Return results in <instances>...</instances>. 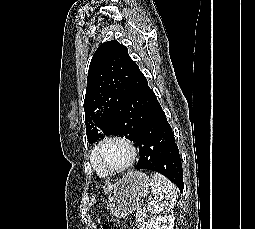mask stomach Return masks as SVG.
<instances>
[{"mask_svg": "<svg viewBox=\"0 0 255 229\" xmlns=\"http://www.w3.org/2000/svg\"><path fill=\"white\" fill-rule=\"evenodd\" d=\"M151 181L142 171H130L111 188L107 208L117 218H125L140 208L142 200L150 193Z\"/></svg>", "mask_w": 255, "mask_h": 229, "instance_id": "obj_1", "label": "stomach"}]
</instances>
